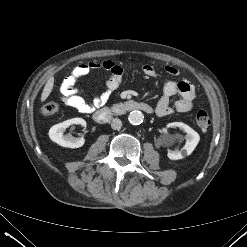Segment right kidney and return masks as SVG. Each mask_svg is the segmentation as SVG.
<instances>
[{"mask_svg": "<svg viewBox=\"0 0 247 247\" xmlns=\"http://www.w3.org/2000/svg\"><path fill=\"white\" fill-rule=\"evenodd\" d=\"M74 124L86 127V121L82 118L77 117V118L68 119L50 128L49 130L50 139L62 147H67V148L82 147L85 142V139L83 137L75 138L72 137L71 135L63 134L66 128Z\"/></svg>", "mask_w": 247, "mask_h": 247, "instance_id": "ca27d5eb", "label": "right kidney"}]
</instances>
